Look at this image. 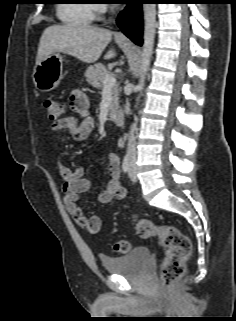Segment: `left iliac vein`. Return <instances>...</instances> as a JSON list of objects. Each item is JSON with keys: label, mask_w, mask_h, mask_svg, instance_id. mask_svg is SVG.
<instances>
[{"label": "left iliac vein", "mask_w": 236, "mask_h": 321, "mask_svg": "<svg viewBox=\"0 0 236 321\" xmlns=\"http://www.w3.org/2000/svg\"><path fill=\"white\" fill-rule=\"evenodd\" d=\"M129 178L131 181L135 182L136 181V170H135V165L132 162L129 170Z\"/></svg>", "instance_id": "obj_1"}]
</instances>
